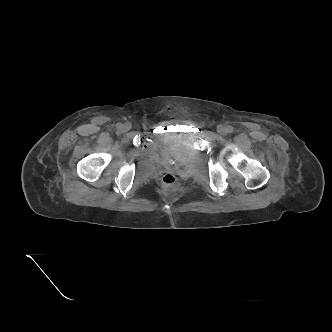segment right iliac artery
<instances>
[{
    "label": "right iliac artery",
    "instance_id": "1",
    "mask_svg": "<svg viewBox=\"0 0 332 332\" xmlns=\"http://www.w3.org/2000/svg\"><path fill=\"white\" fill-rule=\"evenodd\" d=\"M117 128H118V129H121V128H122V124H121V123H118V124H117Z\"/></svg>",
    "mask_w": 332,
    "mask_h": 332
}]
</instances>
